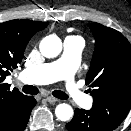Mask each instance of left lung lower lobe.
Wrapping results in <instances>:
<instances>
[{"label": "left lung lower lobe", "instance_id": "left-lung-lower-lobe-1", "mask_svg": "<svg viewBox=\"0 0 131 131\" xmlns=\"http://www.w3.org/2000/svg\"><path fill=\"white\" fill-rule=\"evenodd\" d=\"M68 131H113L99 114L93 110L75 109L73 119L66 124Z\"/></svg>", "mask_w": 131, "mask_h": 131}]
</instances>
